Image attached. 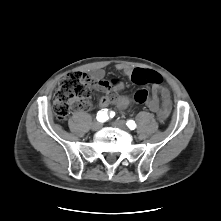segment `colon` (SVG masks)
<instances>
[{"label": "colon", "instance_id": "1", "mask_svg": "<svg viewBox=\"0 0 221 221\" xmlns=\"http://www.w3.org/2000/svg\"><path fill=\"white\" fill-rule=\"evenodd\" d=\"M134 82L146 79L149 83L159 85L162 83V76L153 70L143 71L135 69L131 76ZM89 81L78 72H72L64 76L53 98V109L58 120H64L70 113L73 106L80 103L83 107H88L84 102L91 94ZM149 92L146 88L138 89L134 94L137 103H145Z\"/></svg>", "mask_w": 221, "mask_h": 221}]
</instances>
